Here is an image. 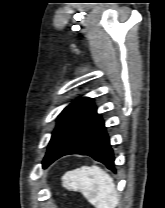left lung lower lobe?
Instances as JSON below:
<instances>
[{"label":"left lung lower lobe","mask_w":165,"mask_h":208,"mask_svg":"<svg viewBox=\"0 0 165 208\" xmlns=\"http://www.w3.org/2000/svg\"><path fill=\"white\" fill-rule=\"evenodd\" d=\"M69 154L89 155L96 161L105 164L108 169L116 172L115 159L104 121L97 113L81 128L65 153V155Z\"/></svg>","instance_id":"0a47b994"}]
</instances>
